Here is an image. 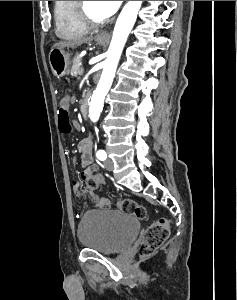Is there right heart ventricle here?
<instances>
[{"mask_svg":"<svg viewBox=\"0 0 237 300\" xmlns=\"http://www.w3.org/2000/svg\"><path fill=\"white\" fill-rule=\"evenodd\" d=\"M76 1H54V20L56 33L62 38L85 35L89 28L77 18Z\"/></svg>","mask_w":237,"mask_h":300,"instance_id":"1","label":"right heart ventricle"}]
</instances>
